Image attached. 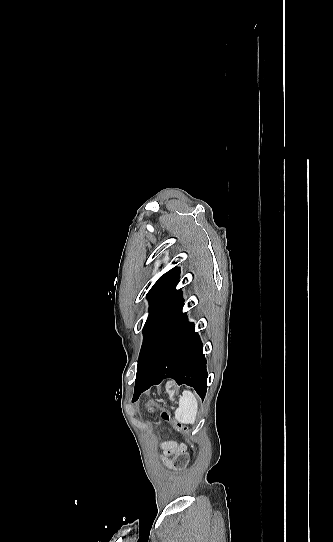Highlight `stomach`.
<instances>
[{
    "instance_id": "0dacf381",
    "label": "stomach",
    "mask_w": 333,
    "mask_h": 542,
    "mask_svg": "<svg viewBox=\"0 0 333 542\" xmlns=\"http://www.w3.org/2000/svg\"><path fill=\"white\" fill-rule=\"evenodd\" d=\"M166 392H167V394H169L170 398H174L176 390H175V388H173V390H170V388H168V386H166Z\"/></svg>"
}]
</instances>
